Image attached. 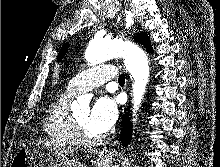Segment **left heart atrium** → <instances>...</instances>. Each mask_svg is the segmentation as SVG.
Segmentation results:
<instances>
[{
	"label": "left heart atrium",
	"mask_w": 220,
	"mask_h": 167,
	"mask_svg": "<svg viewBox=\"0 0 220 167\" xmlns=\"http://www.w3.org/2000/svg\"><path fill=\"white\" fill-rule=\"evenodd\" d=\"M118 105L116 99L105 95L98 98L89 111L88 124L98 134L108 131L116 122Z\"/></svg>",
	"instance_id": "left-heart-atrium-1"
}]
</instances>
